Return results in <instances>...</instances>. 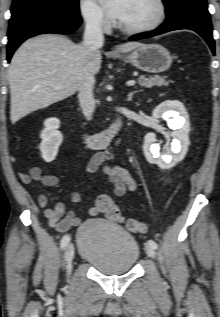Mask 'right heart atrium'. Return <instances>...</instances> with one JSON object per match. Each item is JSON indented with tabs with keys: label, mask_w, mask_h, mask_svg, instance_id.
<instances>
[{
	"label": "right heart atrium",
	"mask_w": 220,
	"mask_h": 317,
	"mask_svg": "<svg viewBox=\"0 0 220 317\" xmlns=\"http://www.w3.org/2000/svg\"><path fill=\"white\" fill-rule=\"evenodd\" d=\"M80 13L85 24L97 30L105 31L110 27V21L94 0H80Z\"/></svg>",
	"instance_id": "1"
}]
</instances>
